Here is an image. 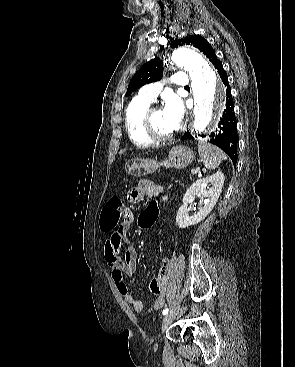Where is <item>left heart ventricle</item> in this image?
Wrapping results in <instances>:
<instances>
[{
	"label": "left heart ventricle",
	"instance_id": "1",
	"mask_svg": "<svg viewBox=\"0 0 295 367\" xmlns=\"http://www.w3.org/2000/svg\"><path fill=\"white\" fill-rule=\"evenodd\" d=\"M153 125L155 129L161 134H171L173 133V129L168 125L165 116L163 114V110H157L153 115Z\"/></svg>",
	"mask_w": 295,
	"mask_h": 367
}]
</instances>
